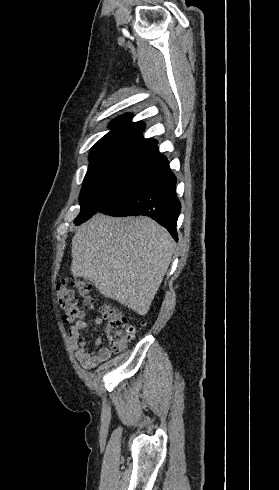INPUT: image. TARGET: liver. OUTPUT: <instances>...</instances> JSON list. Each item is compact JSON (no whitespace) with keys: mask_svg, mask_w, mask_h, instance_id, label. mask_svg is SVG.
Segmentation results:
<instances>
[{"mask_svg":"<svg viewBox=\"0 0 279 490\" xmlns=\"http://www.w3.org/2000/svg\"><path fill=\"white\" fill-rule=\"evenodd\" d=\"M173 240L147 216L109 218L96 214L72 240L71 274L145 316L169 268Z\"/></svg>","mask_w":279,"mask_h":490,"instance_id":"1","label":"liver"}]
</instances>
